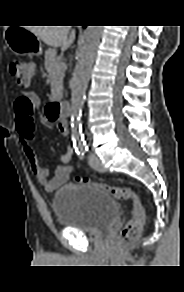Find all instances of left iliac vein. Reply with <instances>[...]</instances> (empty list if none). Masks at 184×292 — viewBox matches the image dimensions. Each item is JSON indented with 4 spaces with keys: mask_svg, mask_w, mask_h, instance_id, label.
<instances>
[{
    "mask_svg": "<svg viewBox=\"0 0 184 292\" xmlns=\"http://www.w3.org/2000/svg\"><path fill=\"white\" fill-rule=\"evenodd\" d=\"M88 161H89V165L94 170H97V171H100V172H104L105 171L100 159L95 154H90L89 158H88Z\"/></svg>",
    "mask_w": 184,
    "mask_h": 292,
    "instance_id": "1",
    "label": "left iliac vein"
}]
</instances>
